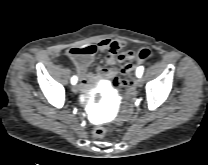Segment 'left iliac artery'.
<instances>
[{"mask_svg":"<svg viewBox=\"0 0 208 165\" xmlns=\"http://www.w3.org/2000/svg\"><path fill=\"white\" fill-rule=\"evenodd\" d=\"M143 70H144V67L143 66L138 67V69L136 71L137 77H141L142 76Z\"/></svg>","mask_w":208,"mask_h":165,"instance_id":"1","label":"left iliac artery"}]
</instances>
